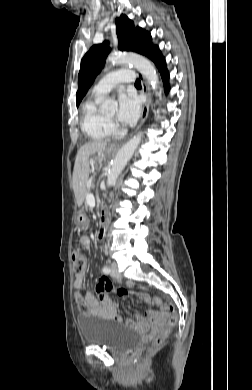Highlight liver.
Listing matches in <instances>:
<instances>
[{
	"mask_svg": "<svg viewBox=\"0 0 252 390\" xmlns=\"http://www.w3.org/2000/svg\"><path fill=\"white\" fill-rule=\"evenodd\" d=\"M106 142L94 141L83 145L77 153L73 170V190L78 203L81 204L86 195V184L90 173V156L102 152Z\"/></svg>",
	"mask_w": 252,
	"mask_h": 390,
	"instance_id": "1",
	"label": "liver"
}]
</instances>
